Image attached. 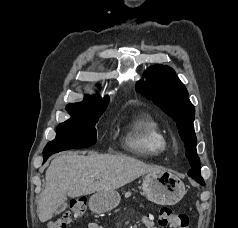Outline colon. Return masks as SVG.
I'll list each match as a JSON object with an SVG mask.
<instances>
[{
	"mask_svg": "<svg viewBox=\"0 0 238 228\" xmlns=\"http://www.w3.org/2000/svg\"><path fill=\"white\" fill-rule=\"evenodd\" d=\"M86 211V199L81 197L73 200L68 209L52 220L48 228H67L73 221L83 216ZM157 221L162 228H188L189 218L186 214L176 213L168 207L157 209Z\"/></svg>",
	"mask_w": 238,
	"mask_h": 228,
	"instance_id": "colon-1",
	"label": "colon"
}]
</instances>
